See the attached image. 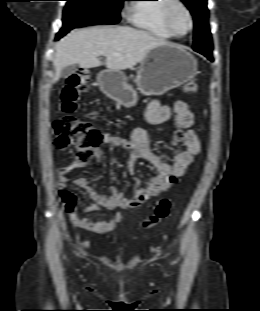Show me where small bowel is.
<instances>
[{
	"label": "small bowel",
	"instance_id": "c3829d8e",
	"mask_svg": "<svg viewBox=\"0 0 260 311\" xmlns=\"http://www.w3.org/2000/svg\"><path fill=\"white\" fill-rule=\"evenodd\" d=\"M174 115V124L184 129L185 149L178 152L172 163H166L151 148L147 132L142 128L133 130L130 139L112 133H103V144L110 150L122 148L130 151L127 160V168L130 175L135 173V161L144 159L148 161L157 171L156 175L150 178L145 187H142L138 180L134 192L126 196L118 188L110 187V193L102 194L92 188L84 177L73 180V183L82 189L92 201L82 211L77 210V199L67 188L71 181L70 174L79 168L85 167L86 163L72 161L62 166L58 171V192L63 203L64 210L68 213L70 220L77 227L91 232L105 233L113 231L121 221L122 213H117L109 221H93L87 217L88 214L96 212L99 207L114 208H137L153 197L167 191L185 173L187 167L199 154L201 144L196 132L191 129L195 121V115L190 111L186 102L177 100L172 104H162L158 100H151L145 111V119L149 124L159 125L167 122ZM95 156L100 159L103 156L101 149L97 148Z\"/></svg>",
	"mask_w": 260,
	"mask_h": 311
}]
</instances>
